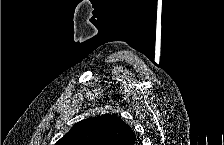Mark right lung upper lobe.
<instances>
[{
  "label": "right lung upper lobe",
  "mask_w": 224,
  "mask_h": 145,
  "mask_svg": "<svg viewBox=\"0 0 224 145\" xmlns=\"http://www.w3.org/2000/svg\"><path fill=\"white\" fill-rule=\"evenodd\" d=\"M131 128L115 115H102L76 123L56 145H134Z\"/></svg>",
  "instance_id": "1"
}]
</instances>
